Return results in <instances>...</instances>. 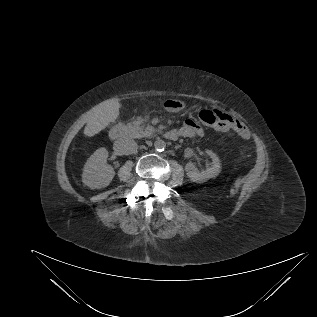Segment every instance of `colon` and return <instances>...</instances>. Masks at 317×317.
I'll list each match as a JSON object with an SVG mask.
<instances>
[{
	"label": "colon",
	"mask_w": 317,
	"mask_h": 317,
	"mask_svg": "<svg viewBox=\"0 0 317 317\" xmlns=\"http://www.w3.org/2000/svg\"><path fill=\"white\" fill-rule=\"evenodd\" d=\"M200 121L207 126H216L220 123V113L216 110H202L199 113Z\"/></svg>",
	"instance_id": "5ec220e1"
}]
</instances>
